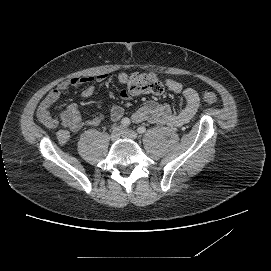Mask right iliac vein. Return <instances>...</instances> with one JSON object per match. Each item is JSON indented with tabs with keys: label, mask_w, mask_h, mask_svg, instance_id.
<instances>
[{
	"label": "right iliac vein",
	"mask_w": 271,
	"mask_h": 271,
	"mask_svg": "<svg viewBox=\"0 0 271 271\" xmlns=\"http://www.w3.org/2000/svg\"><path fill=\"white\" fill-rule=\"evenodd\" d=\"M122 134V128L115 127L111 132V140L116 141Z\"/></svg>",
	"instance_id": "63e3f726"
}]
</instances>
